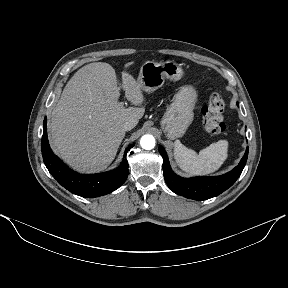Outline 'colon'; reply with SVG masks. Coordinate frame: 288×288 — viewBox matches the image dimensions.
<instances>
[{"label": "colon", "instance_id": "colon-1", "mask_svg": "<svg viewBox=\"0 0 288 288\" xmlns=\"http://www.w3.org/2000/svg\"><path fill=\"white\" fill-rule=\"evenodd\" d=\"M225 102L221 95L213 93L202 107V122L205 131L210 136L221 135L225 131L223 112Z\"/></svg>", "mask_w": 288, "mask_h": 288}]
</instances>
